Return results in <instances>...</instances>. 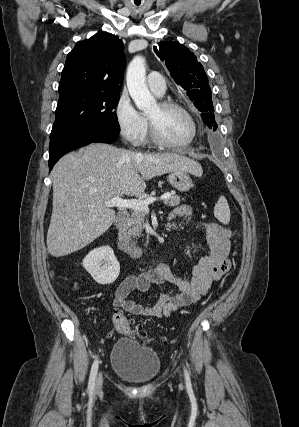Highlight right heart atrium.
<instances>
[{
  "mask_svg": "<svg viewBox=\"0 0 299 427\" xmlns=\"http://www.w3.org/2000/svg\"><path fill=\"white\" fill-rule=\"evenodd\" d=\"M114 116L121 137L134 145L140 144L146 135L145 117L135 108L129 95L122 92L114 107Z\"/></svg>",
  "mask_w": 299,
  "mask_h": 427,
  "instance_id": "1",
  "label": "right heart atrium"
}]
</instances>
